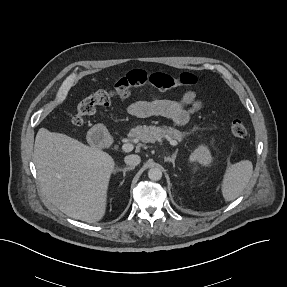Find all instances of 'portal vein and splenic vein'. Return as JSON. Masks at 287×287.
Listing matches in <instances>:
<instances>
[{
    "label": "portal vein and splenic vein",
    "mask_w": 287,
    "mask_h": 287,
    "mask_svg": "<svg viewBox=\"0 0 287 287\" xmlns=\"http://www.w3.org/2000/svg\"><path fill=\"white\" fill-rule=\"evenodd\" d=\"M167 140L169 141L170 145H172V146H177L178 145L176 140H173L171 138H168ZM133 148L134 147H133V145L131 143H125V144L122 145V150L124 152H130V151L133 150Z\"/></svg>",
    "instance_id": "portal-vein-and-splenic-vein-1"
}]
</instances>
